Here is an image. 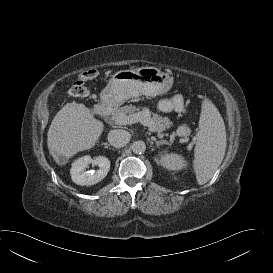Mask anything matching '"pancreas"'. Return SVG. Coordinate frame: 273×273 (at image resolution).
<instances>
[{
  "label": "pancreas",
  "instance_id": "obj_1",
  "mask_svg": "<svg viewBox=\"0 0 273 273\" xmlns=\"http://www.w3.org/2000/svg\"><path fill=\"white\" fill-rule=\"evenodd\" d=\"M139 108H136L133 105H125L123 107H120L119 109H117L111 116V120L117 124V122L124 116L127 115H131L136 111H139ZM144 112H148L149 109L148 108H143ZM149 121L151 122L152 127L158 131V132H162L164 131L166 128H169L171 126V121L169 118L167 117H161L155 113H150V115L148 116ZM191 134V130L188 126L186 125H182L179 126L177 129V135L179 137H183L186 141L189 139V136Z\"/></svg>",
  "mask_w": 273,
  "mask_h": 273
}]
</instances>
